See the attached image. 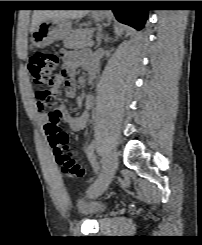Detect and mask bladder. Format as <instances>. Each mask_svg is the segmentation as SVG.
Here are the masks:
<instances>
[{
	"label": "bladder",
	"mask_w": 202,
	"mask_h": 245,
	"mask_svg": "<svg viewBox=\"0 0 202 245\" xmlns=\"http://www.w3.org/2000/svg\"><path fill=\"white\" fill-rule=\"evenodd\" d=\"M77 209L84 216L100 219L108 211V206L105 202L98 201L91 196H82L77 200Z\"/></svg>",
	"instance_id": "1"
}]
</instances>
